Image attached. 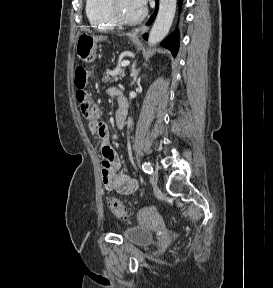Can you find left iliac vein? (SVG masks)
Returning <instances> with one entry per match:
<instances>
[{
  "label": "left iliac vein",
  "instance_id": "left-iliac-vein-1",
  "mask_svg": "<svg viewBox=\"0 0 273 288\" xmlns=\"http://www.w3.org/2000/svg\"><path fill=\"white\" fill-rule=\"evenodd\" d=\"M150 181H151V184L153 186H156L157 182H158V173L157 172H153L150 176Z\"/></svg>",
  "mask_w": 273,
  "mask_h": 288
}]
</instances>
